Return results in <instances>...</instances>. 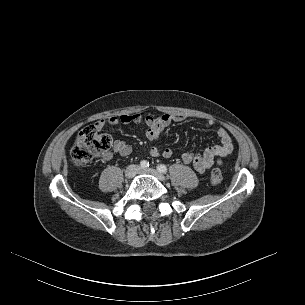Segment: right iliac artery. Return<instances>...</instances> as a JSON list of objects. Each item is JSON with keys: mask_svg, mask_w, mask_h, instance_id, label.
<instances>
[{"mask_svg": "<svg viewBox=\"0 0 305 305\" xmlns=\"http://www.w3.org/2000/svg\"><path fill=\"white\" fill-rule=\"evenodd\" d=\"M140 165L142 168H147V167H149V162L146 160H143L140 162Z\"/></svg>", "mask_w": 305, "mask_h": 305, "instance_id": "right-iliac-artery-1", "label": "right iliac artery"}]
</instances>
